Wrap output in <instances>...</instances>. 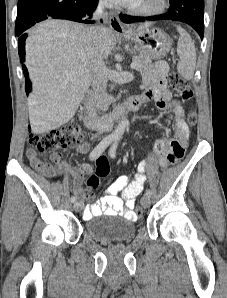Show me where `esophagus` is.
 <instances>
[{
    "label": "esophagus",
    "mask_w": 227,
    "mask_h": 298,
    "mask_svg": "<svg viewBox=\"0 0 227 298\" xmlns=\"http://www.w3.org/2000/svg\"><path fill=\"white\" fill-rule=\"evenodd\" d=\"M108 24L113 31L123 32L125 27L121 23L118 15L115 12H111L107 17Z\"/></svg>",
    "instance_id": "esophagus-1"
}]
</instances>
